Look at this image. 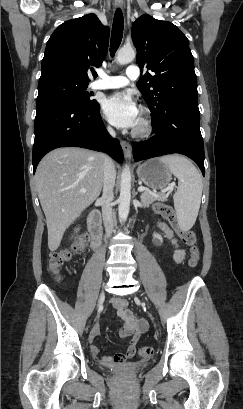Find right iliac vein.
<instances>
[{
  "instance_id": "63e3f726",
  "label": "right iliac vein",
  "mask_w": 243,
  "mask_h": 409,
  "mask_svg": "<svg viewBox=\"0 0 243 409\" xmlns=\"http://www.w3.org/2000/svg\"><path fill=\"white\" fill-rule=\"evenodd\" d=\"M104 297V292L102 291L101 293H100V299H102Z\"/></svg>"
}]
</instances>
